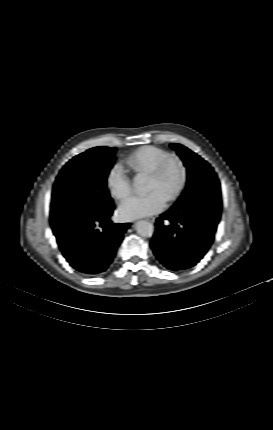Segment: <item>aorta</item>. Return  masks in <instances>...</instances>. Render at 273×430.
Masks as SVG:
<instances>
[{
    "label": "aorta",
    "mask_w": 273,
    "mask_h": 430,
    "mask_svg": "<svg viewBox=\"0 0 273 430\" xmlns=\"http://www.w3.org/2000/svg\"><path fill=\"white\" fill-rule=\"evenodd\" d=\"M134 187L138 193H145L148 191V181L142 177H136L134 179ZM135 229L140 236L151 237L154 232L153 224L140 220L136 222Z\"/></svg>",
    "instance_id": "aorta-1"
}]
</instances>
